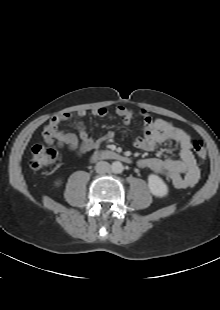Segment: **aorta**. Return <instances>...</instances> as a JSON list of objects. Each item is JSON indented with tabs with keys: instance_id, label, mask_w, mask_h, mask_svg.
<instances>
[{
	"instance_id": "obj_1",
	"label": "aorta",
	"mask_w": 220,
	"mask_h": 310,
	"mask_svg": "<svg viewBox=\"0 0 220 310\" xmlns=\"http://www.w3.org/2000/svg\"><path fill=\"white\" fill-rule=\"evenodd\" d=\"M111 171L116 174L121 173L123 171L122 163L119 161L113 162L111 165Z\"/></svg>"
}]
</instances>
